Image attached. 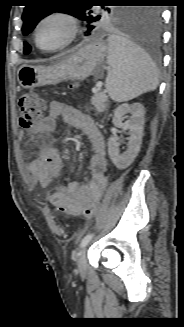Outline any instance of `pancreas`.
Here are the masks:
<instances>
[{"instance_id": "pancreas-1", "label": "pancreas", "mask_w": 184, "mask_h": 327, "mask_svg": "<svg viewBox=\"0 0 184 327\" xmlns=\"http://www.w3.org/2000/svg\"><path fill=\"white\" fill-rule=\"evenodd\" d=\"M108 97L105 92L100 90L94 92V95L91 98V103L98 112H103L106 109Z\"/></svg>"}]
</instances>
